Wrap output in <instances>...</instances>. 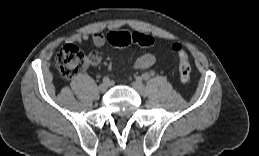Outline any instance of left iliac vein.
Returning <instances> with one entry per match:
<instances>
[{"label": "left iliac vein", "mask_w": 259, "mask_h": 156, "mask_svg": "<svg viewBox=\"0 0 259 156\" xmlns=\"http://www.w3.org/2000/svg\"><path fill=\"white\" fill-rule=\"evenodd\" d=\"M132 87L140 94L144 95L146 92L144 84L140 80H136L132 83Z\"/></svg>", "instance_id": "4c4485c4"}]
</instances>
